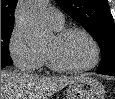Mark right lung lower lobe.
<instances>
[{
  "mask_svg": "<svg viewBox=\"0 0 115 99\" xmlns=\"http://www.w3.org/2000/svg\"><path fill=\"white\" fill-rule=\"evenodd\" d=\"M4 67H6L5 65H1V68H4Z\"/></svg>",
  "mask_w": 115,
  "mask_h": 99,
  "instance_id": "98d812e1",
  "label": "right lung lower lobe"
}]
</instances>
